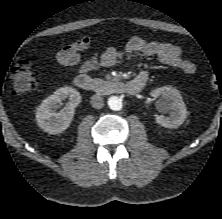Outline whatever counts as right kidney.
<instances>
[{"instance_id": "1", "label": "right kidney", "mask_w": 222, "mask_h": 219, "mask_svg": "<svg viewBox=\"0 0 222 219\" xmlns=\"http://www.w3.org/2000/svg\"><path fill=\"white\" fill-rule=\"evenodd\" d=\"M66 98L65 111L55 112L59 108V103ZM81 102L80 93L72 87H61L52 95L42 101L36 110V120L38 126L49 134H57L66 130L74 117L75 107Z\"/></svg>"}]
</instances>
